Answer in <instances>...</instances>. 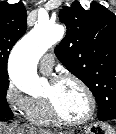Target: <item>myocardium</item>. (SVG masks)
I'll return each instance as SVG.
<instances>
[{
    "instance_id": "myocardium-1",
    "label": "myocardium",
    "mask_w": 116,
    "mask_h": 134,
    "mask_svg": "<svg viewBox=\"0 0 116 134\" xmlns=\"http://www.w3.org/2000/svg\"><path fill=\"white\" fill-rule=\"evenodd\" d=\"M64 81H72L83 89V91L85 92V94L88 98V102H89L88 112L81 119H78V120L68 119L59 112V110L57 109V107L51 97L44 96V101L47 105L48 111H49L51 117L60 124L67 125V126L84 125L93 118V116L96 112V98H95L92 90L89 88V86L83 80H81L80 78H78L75 75L61 74V75L55 76L51 79V83L53 85H57Z\"/></svg>"
}]
</instances>
